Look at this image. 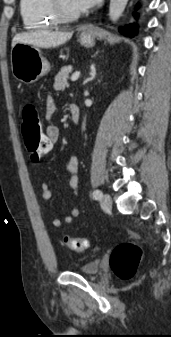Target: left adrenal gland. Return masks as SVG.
Wrapping results in <instances>:
<instances>
[{"label": "left adrenal gland", "instance_id": "1", "mask_svg": "<svg viewBox=\"0 0 171 337\" xmlns=\"http://www.w3.org/2000/svg\"><path fill=\"white\" fill-rule=\"evenodd\" d=\"M96 77V68L94 65L91 66V72H90V77L86 79L84 83H87L89 81H92Z\"/></svg>", "mask_w": 171, "mask_h": 337}]
</instances>
